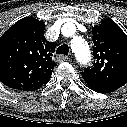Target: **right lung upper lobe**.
I'll use <instances>...</instances> for the list:
<instances>
[{
    "label": "right lung upper lobe",
    "mask_w": 127,
    "mask_h": 127,
    "mask_svg": "<svg viewBox=\"0 0 127 127\" xmlns=\"http://www.w3.org/2000/svg\"><path fill=\"white\" fill-rule=\"evenodd\" d=\"M45 24L33 17L16 22L0 37V81L18 90L33 91L47 83L56 63V43L44 37Z\"/></svg>",
    "instance_id": "right-lung-upper-lobe-1"
}]
</instances>
